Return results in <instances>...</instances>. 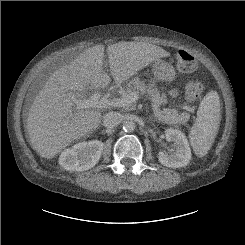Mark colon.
I'll list each match as a JSON object with an SVG mask.
<instances>
[{
    "label": "colon",
    "mask_w": 245,
    "mask_h": 245,
    "mask_svg": "<svg viewBox=\"0 0 245 245\" xmlns=\"http://www.w3.org/2000/svg\"><path fill=\"white\" fill-rule=\"evenodd\" d=\"M176 65L179 71L184 73L192 72L196 69L197 62L192 53L185 48L178 49L176 52ZM203 91V84L198 79H190L185 83L184 92L187 100H197Z\"/></svg>",
    "instance_id": "obj_1"
}]
</instances>
